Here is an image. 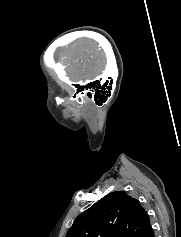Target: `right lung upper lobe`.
I'll list each match as a JSON object with an SVG mask.
<instances>
[{
    "instance_id": "obj_1",
    "label": "right lung upper lobe",
    "mask_w": 181,
    "mask_h": 237,
    "mask_svg": "<svg viewBox=\"0 0 181 237\" xmlns=\"http://www.w3.org/2000/svg\"><path fill=\"white\" fill-rule=\"evenodd\" d=\"M149 216L125 191L107 194L81 213L66 237H153Z\"/></svg>"
}]
</instances>
